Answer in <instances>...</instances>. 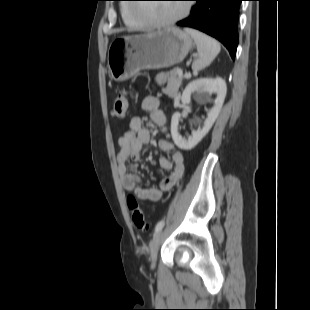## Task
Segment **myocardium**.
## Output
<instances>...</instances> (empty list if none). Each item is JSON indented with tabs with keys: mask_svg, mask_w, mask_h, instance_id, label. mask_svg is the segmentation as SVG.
Here are the masks:
<instances>
[{
	"mask_svg": "<svg viewBox=\"0 0 310 310\" xmlns=\"http://www.w3.org/2000/svg\"><path fill=\"white\" fill-rule=\"evenodd\" d=\"M190 12V4H185L183 6L182 11L175 17L168 19V20H164V21H158V20H154L151 18H148L146 16H142L139 14L138 9L131 7V15L141 21L145 27L148 28H165V27H169L177 22H179L180 20H182L183 18H185Z\"/></svg>",
	"mask_w": 310,
	"mask_h": 310,
	"instance_id": "myocardium-1",
	"label": "myocardium"
}]
</instances>
